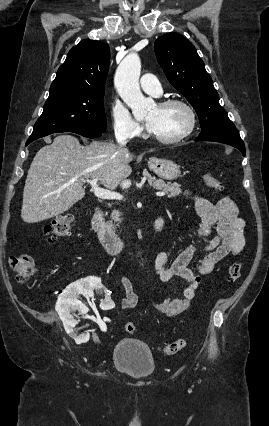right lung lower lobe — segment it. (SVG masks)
I'll list each match as a JSON object with an SVG mask.
<instances>
[{
  "label": "right lung lower lobe",
  "instance_id": "obj_1",
  "mask_svg": "<svg viewBox=\"0 0 269 426\" xmlns=\"http://www.w3.org/2000/svg\"><path fill=\"white\" fill-rule=\"evenodd\" d=\"M74 133L80 134L82 136L88 137V138H96L101 136V132L100 131H94V130H90V129H80ZM30 142H32L31 140H28L26 145H28Z\"/></svg>",
  "mask_w": 269,
  "mask_h": 426
}]
</instances>
